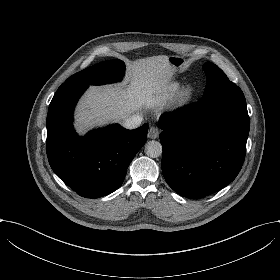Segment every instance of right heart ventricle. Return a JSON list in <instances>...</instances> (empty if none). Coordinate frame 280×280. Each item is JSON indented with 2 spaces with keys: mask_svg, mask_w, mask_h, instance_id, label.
<instances>
[{
  "mask_svg": "<svg viewBox=\"0 0 280 280\" xmlns=\"http://www.w3.org/2000/svg\"><path fill=\"white\" fill-rule=\"evenodd\" d=\"M182 82L180 80H175L168 83L161 96V101L166 102L172 100L181 90Z\"/></svg>",
  "mask_w": 280,
  "mask_h": 280,
  "instance_id": "e07e8e85",
  "label": "right heart ventricle"
}]
</instances>
